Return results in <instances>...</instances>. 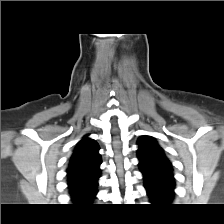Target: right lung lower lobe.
Returning a JSON list of instances; mask_svg holds the SVG:
<instances>
[{"label": "right lung lower lobe", "mask_w": 224, "mask_h": 224, "mask_svg": "<svg viewBox=\"0 0 224 224\" xmlns=\"http://www.w3.org/2000/svg\"><path fill=\"white\" fill-rule=\"evenodd\" d=\"M96 194L94 196H92L91 198H81V199H75V201H79V202H91L94 198H95Z\"/></svg>", "instance_id": "right-lung-lower-lobe-1"}]
</instances>
